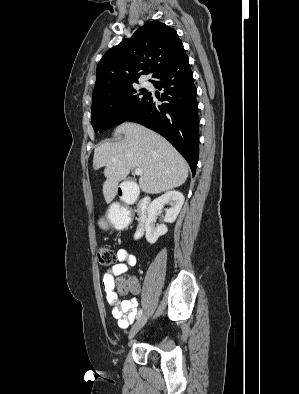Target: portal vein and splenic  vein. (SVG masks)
I'll use <instances>...</instances> for the list:
<instances>
[{
	"label": "portal vein and splenic vein",
	"instance_id": "portal-vein-and-splenic-vein-1",
	"mask_svg": "<svg viewBox=\"0 0 299 394\" xmlns=\"http://www.w3.org/2000/svg\"><path fill=\"white\" fill-rule=\"evenodd\" d=\"M135 174L136 175H142L143 174L142 169H135Z\"/></svg>",
	"mask_w": 299,
	"mask_h": 394
}]
</instances>
